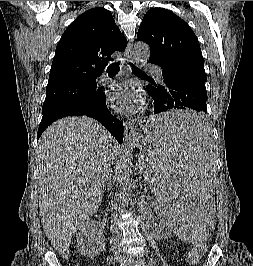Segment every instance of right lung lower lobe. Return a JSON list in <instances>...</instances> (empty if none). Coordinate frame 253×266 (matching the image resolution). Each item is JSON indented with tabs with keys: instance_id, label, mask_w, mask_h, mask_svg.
Masks as SVG:
<instances>
[{
	"instance_id": "right-lung-lower-lobe-1",
	"label": "right lung lower lobe",
	"mask_w": 253,
	"mask_h": 266,
	"mask_svg": "<svg viewBox=\"0 0 253 266\" xmlns=\"http://www.w3.org/2000/svg\"><path fill=\"white\" fill-rule=\"evenodd\" d=\"M89 116L97 121H99L115 138L116 140L122 144L123 142V133H124V127L122 121L118 120L115 116L111 114V112L108 110L106 106V100H105V93L103 92V98L102 100L92 107L91 109H88L86 111H82L76 115L72 116ZM62 118V117H60ZM56 121V120H54ZM52 121V122H54ZM41 123L38 128L37 138L41 136L43 131L52 123Z\"/></svg>"
}]
</instances>
